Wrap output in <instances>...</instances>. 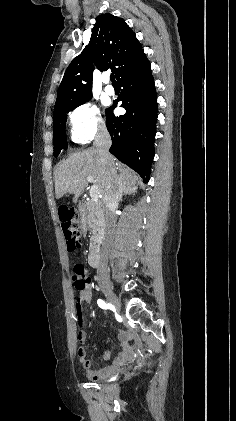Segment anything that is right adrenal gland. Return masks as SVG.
<instances>
[{"mask_svg":"<svg viewBox=\"0 0 236 421\" xmlns=\"http://www.w3.org/2000/svg\"><path fill=\"white\" fill-rule=\"evenodd\" d=\"M136 188H137V186H133V188H130V190H123V188H122V194H121L119 200H122L123 194H131V192H133V190H134V192H136Z\"/></svg>","mask_w":236,"mask_h":421,"instance_id":"2a0ac1e0","label":"right adrenal gland"}]
</instances>
